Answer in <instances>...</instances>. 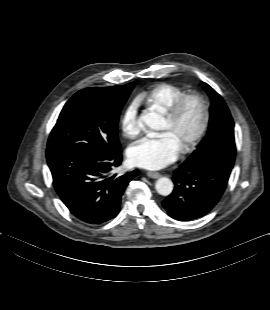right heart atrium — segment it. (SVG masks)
<instances>
[{
	"label": "right heart atrium",
	"mask_w": 270,
	"mask_h": 310,
	"mask_svg": "<svg viewBox=\"0 0 270 310\" xmlns=\"http://www.w3.org/2000/svg\"><path fill=\"white\" fill-rule=\"evenodd\" d=\"M120 126L128 137L136 136L140 132V103L138 100H132L127 104L120 118Z\"/></svg>",
	"instance_id": "d8ad5b80"
}]
</instances>
